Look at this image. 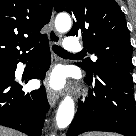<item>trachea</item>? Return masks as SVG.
<instances>
[{"label":"trachea","instance_id":"trachea-1","mask_svg":"<svg viewBox=\"0 0 136 136\" xmlns=\"http://www.w3.org/2000/svg\"><path fill=\"white\" fill-rule=\"evenodd\" d=\"M52 49L59 56H72V55H74V54L67 52L66 50H64L63 48H61L60 46H57V45H53ZM75 55H80V54H75Z\"/></svg>","mask_w":136,"mask_h":136}]
</instances>
